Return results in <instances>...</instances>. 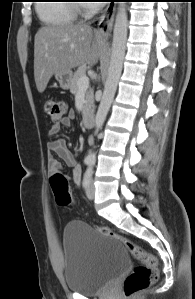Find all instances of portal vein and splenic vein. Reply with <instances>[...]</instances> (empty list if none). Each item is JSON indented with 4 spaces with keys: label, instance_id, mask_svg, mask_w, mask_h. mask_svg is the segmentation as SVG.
<instances>
[{
    "label": "portal vein and splenic vein",
    "instance_id": "18ae733b",
    "mask_svg": "<svg viewBox=\"0 0 195 299\" xmlns=\"http://www.w3.org/2000/svg\"><path fill=\"white\" fill-rule=\"evenodd\" d=\"M79 89H86L89 87V78L85 75L82 76L78 81Z\"/></svg>",
    "mask_w": 195,
    "mask_h": 299
}]
</instances>
